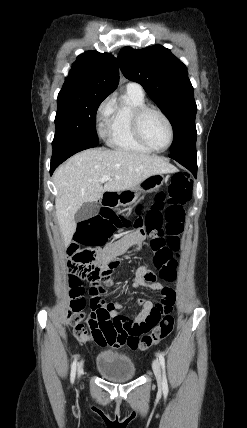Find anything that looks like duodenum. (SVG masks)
I'll list each match as a JSON object with an SVG mask.
<instances>
[{"instance_id": "obj_1", "label": "duodenum", "mask_w": 247, "mask_h": 428, "mask_svg": "<svg viewBox=\"0 0 247 428\" xmlns=\"http://www.w3.org/2000/svg\"><path fill=\"white\" fill-rule=\"evenodd\" d=\"M118 195L115 192L105 193L101 199V204L105 207L106 204H116Z\"/></svg>"}]
</instances>
